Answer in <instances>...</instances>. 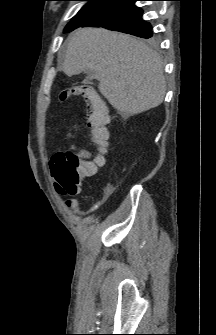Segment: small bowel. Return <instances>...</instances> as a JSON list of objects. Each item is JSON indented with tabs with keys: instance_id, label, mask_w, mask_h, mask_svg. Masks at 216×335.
Here are the masks:
<instances>
[{
	"instance_id": "small-bowel-1",
	"label": "small bowel",
	"mask_w": 216,
	"mask_h": 335,
	"mask_svg": "<svg viewBox=\"0 0 216 335\" xmlns=\"http://www.w3.org/2000/svg\"><path fill=\"white\" fill-rule=\"evenodd\" d=\"M71 149L78 155L81 164H82V162H86L87 159H105V158H92V152H90L89 150H87L85 148H82L78 145H71ZM49 168H50V171L52 173V169H51L50 164H49ZM71 203H72V205H75L76 201H71Z\"/></svg>"
}]
</instances>
